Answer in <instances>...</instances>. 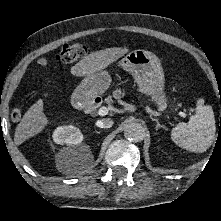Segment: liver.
I'll list each match as a JSON object with an SVG mask.
<instances>
[{
  "mask_svg": "<svg viewBox=\"0 0 221 221\" xmlns=\"http://www.w3.org/2000/svg\"><path fill=\"white\" fill-rule=\"evenodd\" d=\"M129 52L127 48L113 47L93 52L85 56L71 68V74L77 77L87 76L98 70L107 68L110 64L118 60ZM46 93L44 96H47ZM48 124V118L44 113V103L39 99L34 103L23 116L18 124L14 142L20 145L29 138L40 133Z\"/></svg>",
  "mask_w": 221,
  "mask_h": 221,
  "instance_id": "obj_1",
  "label": "liver"
}]
</instances>
